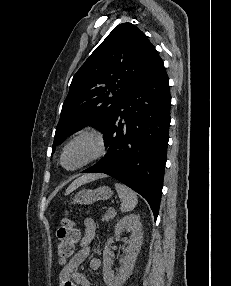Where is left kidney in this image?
<instances>
[{
	"instance_id": "1",
	"label": "left kidney",
	"mask_w": 231,
	"mask_h": 286,
	"mask_svg": "<svg viewBox=\"0 0 231 286\" xmlns=\"http://www.w3.org/2000/svg\"><path fill=\"white\" fill-rule=\"evenodd\" d=\"M131 232L130 239L126 241V256L121 260L122 265L115 273L112 270V252L111 245L114 243L113 237L107 240L103 251V279L107 286H122L130 277L137 255L140 251L143 233L140 216L137 214H129L123 217L115 226V236L120 237L124 231Z\"/></svg>"
}]
</instances>
